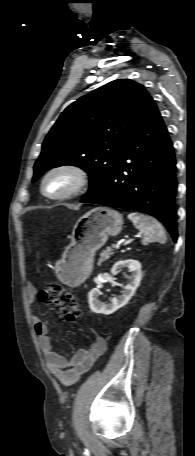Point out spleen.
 <instances>
[{
    "label": "spleen",
    "mask_w": 195,
    "mask_h": 456,
    "mask_svg": "<svg viewBox=\"0 0 195 456\" xmlns=\"http://www.w3.org/2000/svg\"><path fill=\"white\" fill-rule=\"evenodd\" d=\"M128 218L133 222L134 226L143 234L142 243L147 244L157 240L164 243L166 234L162 225L155 218L132 212L128 214Z\"/></svg>",
    "instance_id": "obj_1"
}]
</instances>
